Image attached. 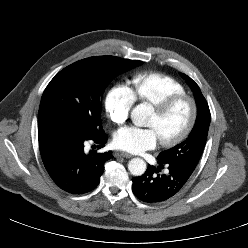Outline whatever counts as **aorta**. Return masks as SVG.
Masks as SVG:
<instances>
[{
	"instance_id": "762f6f07",
	"label": "aorta",
	"mask_w": 248,
	"mask_h": 248,
	"mask_svg": "<svg viewBox=\"0 0 248 248\" xmlns=\"http://www.w3.org/2000/svg\"><path fill=\"white\" fill-rule=\"evenodd\" d=\"M147 112L144 105H138L131 113L132 121L135 125H141L142 120L146 117ZM146 163L141 158H133L128 163V170L134 176H141L146 171Z\"/></svg>"
}]
</instances>
